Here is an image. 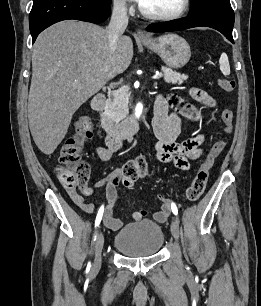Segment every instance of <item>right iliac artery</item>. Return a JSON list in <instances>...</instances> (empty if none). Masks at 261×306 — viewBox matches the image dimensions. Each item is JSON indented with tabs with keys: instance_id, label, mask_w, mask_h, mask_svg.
I'll return each instance as SVG.
<instances>
[{
	"instance_id": "obj_1",
	"label": "right iliac artery",
	"mask_w": 261,
	"mask_h": 306,
	"mask_svg": "<svg viewBox=\"0 0 261 306\" xmlns=\"http://www.w3.org/2000/svg\"><path fill=\"white\" fill-rule=\"evenodd\" d=\"M102 215H103V206L99 209L96 220H95V228L99 227V224L101 222L102 219ZM95 241V238H94ZM90 265L88 264V270H89Z\"/></svg>"
}]
</instances>
